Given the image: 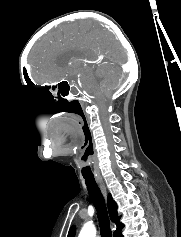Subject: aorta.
<instances>
[{
	"label": "aorta",
	"instance_id": "1",
	"mask_svg": "<svg viewBox=\"0 0 181 237\" xmlns=\"http://www.w3.org/2000/svg\"><path fill=\"white\" fill-rule=\"evenodd\" d=\"M78 237H96V228L93 224H85Z\"/></svg>",
	"mask_w": 181,
	"mask_h": 237
}]
</instances>
